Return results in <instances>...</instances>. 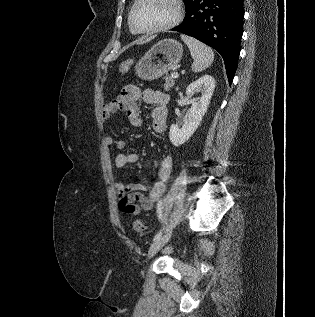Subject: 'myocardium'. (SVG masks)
<instances>
[{
	"label": "myocardium",
	"instance_id": "obj_1",
	"mask_svg": "<svg viewBox=\"0 0 315 317\" xmlns=\"http://www.w3.org/2000/svg\"><path fill=\"white\" fill-rule=\"evenodd\" d=\"M141 2H142V0H136L134 2L133 6L131 8V11H130V15H129L130 25L133 28V30L137 33H155V32L165 31V30L173 28L178 23H180V21L182 20L183 7H182L181 0H172V3L174 4V7H175V14L169 22H167L163 25L157 26V27L141 29V28L137 27V25L135 23V19H134L135 10Z\"/></svg>",
	"mask_w": 315,
	"mask_h": 317
}]
</instances>
